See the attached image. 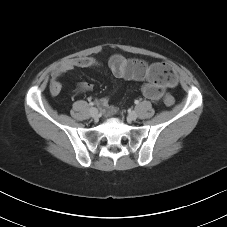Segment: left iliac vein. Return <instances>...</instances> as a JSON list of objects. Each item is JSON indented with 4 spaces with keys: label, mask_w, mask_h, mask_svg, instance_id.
Here are the masks:
<instances>
[{
    "label": "left iliac vein",
    "mask_w": 227,
    "mask_h": 227,
    "mask_svg": "<svg viewBox=\"0 0 227 227\" xmlns=\"http://www.w3.org/2000/svg\"><path fill=\"white\" fill-rule=\"evenodd\" d=\"M137 117H138V114H137V112L134 111V110L131 111V112L128 114V118H129L130 120H136Z\"/></svg>",
    "instance_id": "obj_1"
}]
</instances>
